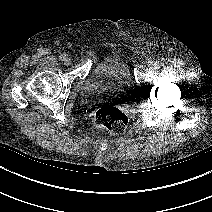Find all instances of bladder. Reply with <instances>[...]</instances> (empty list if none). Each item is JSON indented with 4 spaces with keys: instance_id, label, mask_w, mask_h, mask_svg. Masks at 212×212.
I'll return each mask as SVG.
<instances>
[{
    "instance_id": "bladder-1",
    "label": "bladder",
    "mask_w": 212,
    "mask_h": 212,
    "mask_svg": "<svg viewBox=\"0 0 212 212\" xmlns=\"http://www.w3.org/2000/svg\"><path fill=\"white\" fill-rule=\"evenodd\" d=\"M133 91L132 75L127 61L110 56L94 66L78 96L84 106L95 105L105 98L127 99Z\"/></svg>"
}]
</instances>
